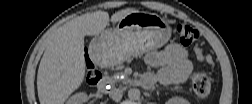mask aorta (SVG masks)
<instances>
[{
  "label": "aorta",
  "mask_w": 252,
  "mask_h": 104,
  "mask_svg": "<svg viewBox=\"0 0 252 104\" xmlns=\"http://www.w3.org/2000/svg\"><path fill=\"white\" fill-rule=\"evenodd\" d=\"M141 92L138 88H131L128 91V97L131 101H137L140 99Z\"/></svg>",
  "instance_id": "762f6f07"
}]
</instances>
